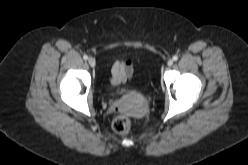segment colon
<instances>
[{
  "label": "colon",
  "instance_id": "colon-1",
  "mask_svg": "<svg viewBox=\"0 0 248 165\" xmlns=\"http://www.w3.org/2000/svg\"><path fill=\"white\" fill-rule=\"evenodd\" d=\"M114 131L118 134H126L131 128V120L125 114L117 115L112 123Z\"/></svg>",
  "mask_w": 248,
  "mask_h": 165
}]
</instances>
